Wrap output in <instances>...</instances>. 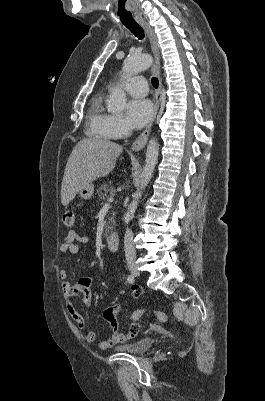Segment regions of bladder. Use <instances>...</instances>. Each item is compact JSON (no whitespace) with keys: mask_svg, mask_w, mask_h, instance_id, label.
Instances as JSON below:
<instances>
[{"mask_svg":"<svg viewBox=\"0 0 265 401\" xmlns=\"http://www.w3.org/2000/svg\"><path fill=\"white\" fill-rule=\"evenodd\" d=\"M151 345H152V339L140 338L139 340H136L131 344L117 347V350L129 353H140L147 351Z\"/></svg>","mask_w":265,"mask_h":401,"instance_id":"1","label":"bladder"}]
</instances>
